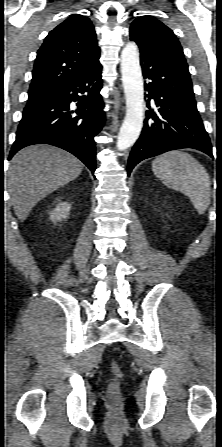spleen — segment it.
Here are the masks:
<instances>
[{
    "label": "spleen",
    "mask_w": 222,
    "mask_h": 447,
    "mask_svg": "<svg viewBox=\"0 0 222 447\" xmlns=\"http://www.w3.org/2000/svg\"><path fill=\"white\" fill-rule=\"evenodd\" d=\"M152 170L166 186L188 196L199 214L210 203V178L206 169L191 155L170 151L158 156Z\"/></svg>",
    "instance_id": "1"
}]
</instances>
